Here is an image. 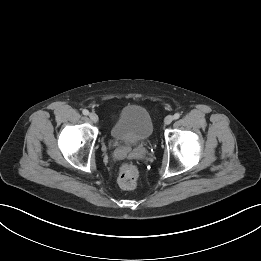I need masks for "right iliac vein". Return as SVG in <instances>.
Instances as JSON below:
<instances>
[{"label": "right iliac vein", "instance_id": "obj_1", "mask_svg": "<svg viewBox=\"0 0 261 261\" xmlns=\"http://www.w3.org/2000/svg\"><path fill=\"white\" fill-rule=\"evenodd\" d=\"M89 118L93 123H97L99 118L96 113L92 112L89 114Z\"/></svg>", "mask_w": 261, "mask_h": 261}]
</instances>
